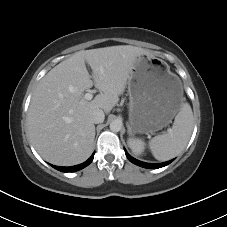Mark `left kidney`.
Returning a JSON list of instances; mask_svg holds the SVG:
<instances>
[{
  "label": "left kidney",
  "instance_id": "left-kidney-1",
  "mask_svg": "<svg viewBox=\"0 0 227 227\" xmlns=\"http://www.w3.org/2000/svg\"><path fill=\"white\" fill-rule=\"evenodd\" d=\"M128 146L135 155H141L144 151V142L141 139L129 138Z\"/></svg>",
  "mask_w": 227,
  "mask_h": 227
}]
</instances>
